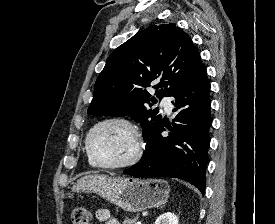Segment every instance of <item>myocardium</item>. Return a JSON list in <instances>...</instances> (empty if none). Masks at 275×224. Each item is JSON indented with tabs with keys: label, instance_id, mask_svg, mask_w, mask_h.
<instances>
[{
	"label": "myocardium",
	"instance_id": "1",
	"mask_svg": "<svg viewBox=\"0 0 275 224\" xmlns=\"http://www.w3.org/2000/svg\"><path fill=\"white\" fill-rule=\"evenodd\" d=\"M108 123H120L125 125L132 133L134 142H135V149L133 154L125 161L120 162V163H114V164H109V163H103L101 162L96 155L93 153L92 148H91V137L93 133L101 126L108 124ZM85 149L90 157V159L94 162V164L98 167L105 168V169H122V168H127L129 166L134 165L137 163L142 154H143V149H144V143H143V138L141 136V133L138 129V127L129 119L120 117V116H111V117H106L97 123H95L90 130L88 131L85 139Z\"/></svg>",
	"mask_w": 275,
	"mask_h": 224
}]
</instances>
